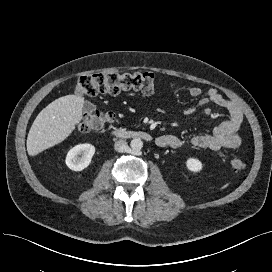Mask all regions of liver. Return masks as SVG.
<instances>
[{
  "label": "liver",
  "instance_id": "obj_1",
  "mask_svg": "<svg viewBox=\"0 0 272 272\" xmlns=\"http://www.w3.org/2000/svg\"><path fill=\"white\" fill-rule=\"evenodd\" d=\"M84 102L82 96L66 95L46 106L30 128L28 154L35 156L64 141L81 121Z\"/></svg>",
  "mask_w": 272,
  "mask_h": 272
}]
</instances>
